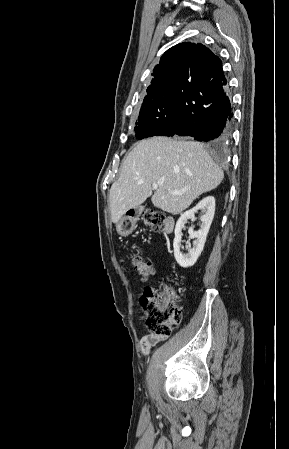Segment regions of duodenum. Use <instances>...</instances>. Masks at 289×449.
I'll list each match as a JSON object with an SVG mask.
<instances>
[{
	"label": "duodenum",
	"instance_id": "obj_1",
	"mask_svg": "<svg viewBox=\"0 0 289 449\" xmlns=\"http://www.w3.org/2000/svg\"><path fill=\"white\" fill-rule=\"evenodd\" d=\"M173 227H174V220L172 218H167L164 223V228H163L164 233H166V234L171 233L173 230Z\"/></svg>",
	"mask_w": 289,
	"mask_h": 449
}]
</instances>
